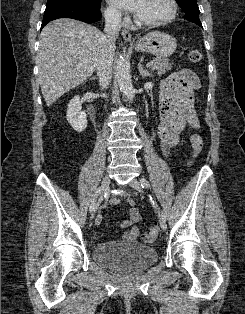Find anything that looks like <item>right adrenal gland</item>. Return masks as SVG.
<instances>
[{
    "label": "right adrenal gland",
    "mask_w": 245,
    "mask_h": 314,
    "mask_svg": "<svg viewBox=\"0 0 245 314\" xmlns=\"http://www.w3.org/2000/svg\"><path fill=\"white\" fill-rule=\"evenodd\" d=\"M91 80H97V77H92Z\"/></svg>",
    "instance_id": "obj_1"
}]
</instances>
